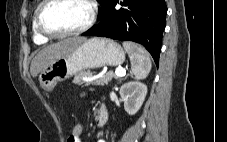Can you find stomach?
Instances as JSON below:
<instances>
[{
	"instance_id": "0dacf381",
	"label": "stomach",
	"mask_w": 227,
	"mask_h": 142,
	"mask_svg": "<svg viewBox=\"0 0 227 142\" xmlns=\"http://www.w3.org/2000/svg\"><path fill=\"white\" fill-rule=\"evenodd\" d=\"M125 60L124 49L116 42L105 38L86 40L71 53L55 60L39 75L40 86L47 91L85 69L104 65L118 66Z\"/></svg>"
}]
</instances>
